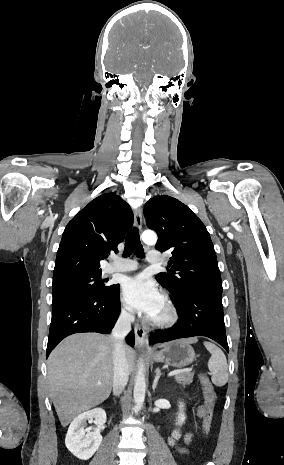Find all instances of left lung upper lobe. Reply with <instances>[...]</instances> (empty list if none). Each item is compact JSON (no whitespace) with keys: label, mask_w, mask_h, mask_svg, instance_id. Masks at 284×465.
<instances>
[{"label":"left lung upper lobe","mask_w":284,"mask_h":465,"mask_svg":"<svg viewBox=\"0 0 284 465\" xmlns=\"http://www.w3.org/2000/svg\"><path fill=\"white\" fill-rule=\"evenodd\" d=\"M150 229L159 238L155 248L171 251L168 266L174 272L159 273L157 281L171 296L187 290H207L222 294V281L210 235L194 212L179 200L155 196L144 206Z\"/></svg>","instance_id":"5c2ea615"}]
</instances>
